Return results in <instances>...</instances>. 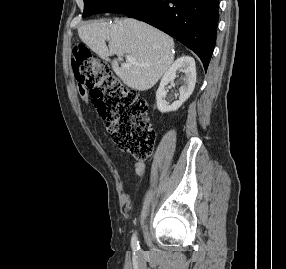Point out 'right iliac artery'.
<instances>
[{"instance_id":"82829eb1","label":"right iliac artery","mask_w":286,"mask_h":269,"mask_svg":"<svg viewBox=\"0 0 286 269\" xmlns=\"http://www.w3.org/2000/svg\"><path fill=\"white\" fill-rule=\"evenodd\" d=\"M131 245H132L133 250H135V251L139 250V248H140L139 247V241L137 239L136 234H134L132 236Z\"/></svg>"}]
</instances>
